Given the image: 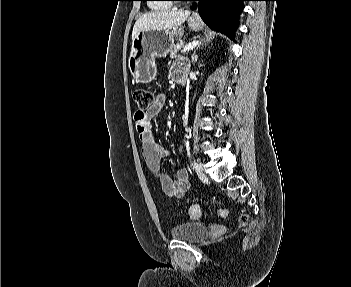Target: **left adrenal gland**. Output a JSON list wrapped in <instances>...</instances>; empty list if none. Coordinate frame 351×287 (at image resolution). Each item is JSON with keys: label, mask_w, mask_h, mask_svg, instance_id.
<instances>
[{"label": "left adrenal gland", "mask_w": 351, "mask_h": 287, "mask_svg": "<svg viewBox=\"0 0 351 287\" xmlns=\"http://www.w3.org/2000/svg\"><path fill=\"white\" fill-rule=\"evenodd\" d=\"M198 60V55L196 54V51H194L192 55V63L195 64Z\"/></svg>", "instance_id": "obj_1"}]
</instances>
